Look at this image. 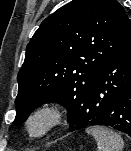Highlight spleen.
Returning a JSON list of instances; mask_svg holds the SVG:
<instances>
[{
    "label": "spleen",
    "mask_w": 131,
    "mask_h": 151,
    "mask_svg": "<svg viewBox=\"0 0 131 151\" xmlns=\"http://www.w3.org/2000/svg\"><path fill=\"white\" fill-rule=\"evenodd\" d=\"M86 132L94 137L99 151H123V139L112 130L103 127H89Z\"/></svg>",
    "instance_id": "obj_1"
}]
</instances>
